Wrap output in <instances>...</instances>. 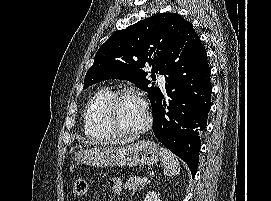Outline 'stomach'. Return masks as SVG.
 Masks as SVG:
<instances>
[{
  "label": "stomach",
  "mask_w": 271,
  "mask_h": 201,
  "mask_svg": "<svg viewBox=\"0 0 271 201\" xmlns=\"http://www.w3.org/2000/svg\"><path fill=\"white\" fill-rule=\"evenodd\" d=\"M162 153L151 141H138L126 146H96L75 151L71 164H86L94 167H124L153 165L161 161Z\"/></svg>",
  "instance_id": "0dacf381"
}]
</instances>
